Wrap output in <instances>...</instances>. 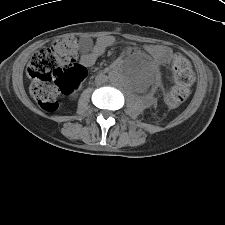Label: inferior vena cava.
<instances>
[{
	"mask_svg": "<svg viewBox=\"0 0 225 225\" xmlns=\"http://www.w3.org/2000/svg\"><path fill=\"white\" fill-rule=\"evenodd\" d=\"M97 84H101V83H104L105 82V79L103 77H99L97 78Z\"/></svg>",
	"mask_w": 225,
	"mask_h": 225,
	"instance_id": "1",
	"label": "inferior vena cava"
}]
</instances>
